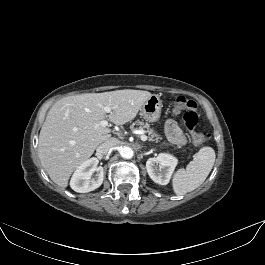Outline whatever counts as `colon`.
Wrapping results in <instances>:
<instances>
[{"mask_svg":"<svg viewBox=\"0 0 265 265\" xmlns=\"http://www.w3.org/2000/svg\"><path fill=\"white\" fill-rule=\"evenodd\" d=\"M171 105L175 111L182 113L184 123L190 131L192 141L195 145L201 146L210 139V134H202L196 131L199 125V117L197 114V105L194 101L179 96L172 100Z\"/></svg>","mask_w":265,"mask_h":265,"instance_id":"obj_1","label":"colon"}]
</instances>
